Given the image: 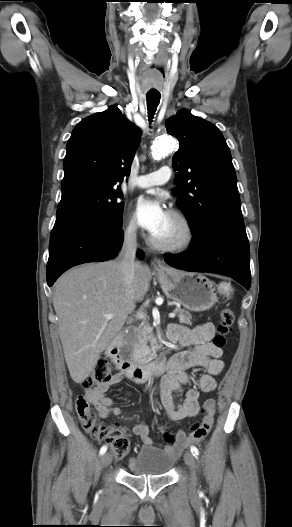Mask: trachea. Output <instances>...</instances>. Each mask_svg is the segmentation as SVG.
Masks as SVG:
<instances>
[{
	"label": "trachea",
	"mask_w": 292,
	"mask_h": 527,
	"mask_svg": "<svg viewBox=\"0 0 292 527\" xmlns=\"http://www.w3.org/2000/svg\"><path fill=\"white\" fill-rule=\"evenodd\" d=\"M160 97H161V95L159 93H148L146 95L148 117H149L150 121L153 119V116H154V114L156 112L157 106L160 103Z\"/></svg>",
	"instance_id": "obj_1"
}]
</instances>
